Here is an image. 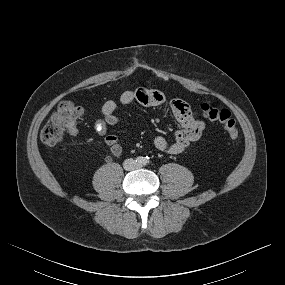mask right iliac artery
<instances>
[{
	"label": "right iliac artery",
	"mask_w": 285,
	"mask_h": 285,
	"mask_svg": "<svg viewBox=\"0 0 285 285\" xmlns=\"http://www.w3.org/2000/svg\"><path fill=\"white\" fill-rule=\"evenodd\" d=\"M143 161H144L143 157H137L136 158V163H138V164H142Z\"/></svg>",
	"instance_id": "obj_1"
}]
</instances>
